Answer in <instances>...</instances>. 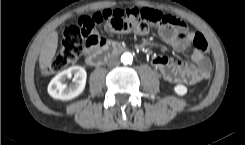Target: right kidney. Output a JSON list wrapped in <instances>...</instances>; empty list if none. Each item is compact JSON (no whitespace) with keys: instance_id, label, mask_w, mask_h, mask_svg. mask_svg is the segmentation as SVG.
Listing matches in <instances>:
<instances>
[{"instance_id":"obj_1","label":"right kidney","mask_w":245,"mask_h":145,"mask_svg":"<svg viewBox=\"0 0 245 145\" xmlns=\"http://www.w3.org/2000/svg\"><path fill=\"white\" fill-rule=\"evenodd\" d=\"M74 76V83L69 86L65 83L67 78ZM86 71L81 66H72L58 73L48 85V93L54 99L70 100L80 95L86 85Z\"/></svg>"}]
</instances>
